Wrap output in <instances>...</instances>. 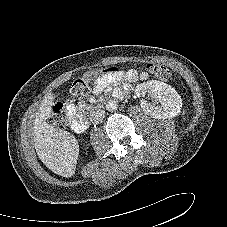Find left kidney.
<instances>
[{"mask_svg": "<svg viewBox=\"0 0 227 227\" xmlns=\"http://www.w3.org/2000/svg\"><path fill=\"white\" fill-rule=\"evenodd\" d=\"M150 93L160 103L151 104L145 100L141 101L142 110L155 119H166L177 116L182 107V99L174 88L157 80H150L137 85L136 94L144 95Z\"/></svg>", "mask_w": 227, "mask_h": 227, "instance_id": "obj_1", "label": "left kidney"}]
</instances>
